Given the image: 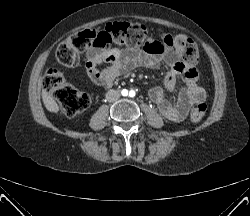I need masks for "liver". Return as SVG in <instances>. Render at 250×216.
<instances>
[{
	"instance_id": "1",
	"label": "liver",
	"mask_w": 250,
	"mask_h": 216,
	"mask_svg": "<svg viewBox=\"0 0 250 216\" xmlns=\"http://www.w3.org/2000/svg\"><path fill=\"white\" fill-rule=\"evenodd\" d=\"M42 99L46 109L49 112L57 113L59 111V105L56 103L54 98L48 94L47 91H42Z\"/></svg>"
}]
</instances>
